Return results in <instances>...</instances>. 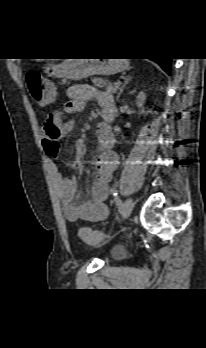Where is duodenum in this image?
Returning a JSON list of instances; mask_svg holds the SVG:
<instances>
[{"mask_svg":"<svg viewBox=\"0 0 206 348\" xmlns=\"http://www.w3.org/2000/svg\"><path fill=\"white\" fill-rule=\"evenodd\" d=\"M102 116L104 123L98 130L99 138L103 143L110 145L112 143L111 124L116 116V106L105 107L102 111Z\"/></svg>","mask_w":206,"mask_h":348,"instance_id":"410a0bca","label":"duodenum"}]
</instances>
